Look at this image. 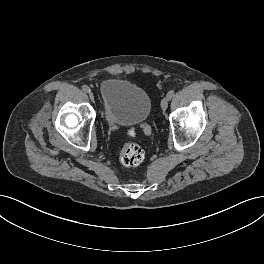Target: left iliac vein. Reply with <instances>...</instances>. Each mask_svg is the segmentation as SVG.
I'll return each mask as SVG.
<instances>
[{
	"label": "left iliac vein",
	"mask_w": 264,
	"mask_h": 264,
	"mask_svg": "<svg viewBox=\"0 0 264 264\" xmlns=\"http://www.w3.org/2000/svg\"><path fill=\"white\" fill-rule=\"evenodd\" d=\"M169 99L167 97L161 100V108L162 110H166L168 107Z\"/></svg>",
	"instance_id": "obj_1"
}]
</instances>
